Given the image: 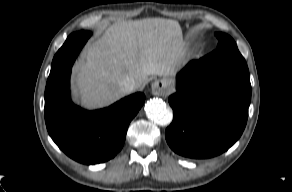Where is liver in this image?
Listing matches in <instances>:
<instances>
[{"instance_id": "obj_1", "label": "liver", "mask_w": 292, "mask_h": 192, "mask_svg": "<svg viewBox=\"0 0 292 192\" xmlns=\"http://www.w3.org/2000/svg\"><path fill=\"white\" fill-rule=\"evenodd\" d=\"M175 20L146 18L117 21L88 45L74 69V86L88 108L110 104L122 96L121 81L134 79L139 89L150 75L172 76L183 65L186 48Z\"/></svg>"}]
</instances>
